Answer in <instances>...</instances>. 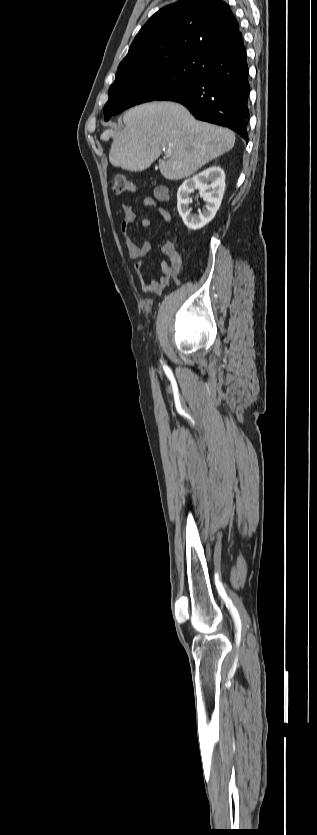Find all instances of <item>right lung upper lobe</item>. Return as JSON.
<instances>
[{"mask_svg":"<svg viewBox=\"0 0 317 835\" xmlns=\"http://www.w3.org/2000/svg\"><path fill=\"white\" fill-rule=\"evenodd\" d=\"M239 32L222 0H180L156 12L136 35L116 76L196 57L230 42Z\"/></svg>","mask_w":317,"mask_h":835,"instance_id":"1","label":"right lung upper lobe"}]
</instances>
